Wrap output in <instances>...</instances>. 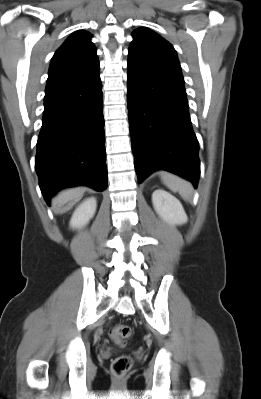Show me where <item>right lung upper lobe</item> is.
<instances>
[{
  "label": "right lung upper lobe",
  "mask_w": 261,
  "mask_h": 399,
  "mask_svg": "<svg viewBox=\"0 0 261 399\" xmlns=\"http://www.w3.org/2000/svg\"><path fill=\"white\" fill-rule=\"evenodd\" d=\"M86 31L74 32L55 52L46 85V92L63 89L99 73L96 48Z\"/></svg>",
  "instance_id": "obj_1"
}]
</instances>
